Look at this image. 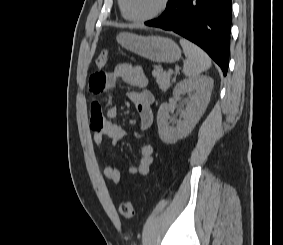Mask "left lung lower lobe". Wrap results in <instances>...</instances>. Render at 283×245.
Masks as SVG:
<instances>
[{
  "label": "left lung lower lobe",
  "mask_w": 283,
  "mask_h": 245,
  "mask_svg": "<svg viewBox=\"0 0 283 245\" xmlns=\"http://www.w3.org/2000/svg\"><path fill=\"white\" fill-rule=\"evenodd\" d=\"M232 0H171L157 19L145 22L194 42L227 74Z\"/></svg>",
  "instance_id": "1"
}]
</instances>
